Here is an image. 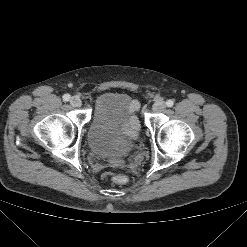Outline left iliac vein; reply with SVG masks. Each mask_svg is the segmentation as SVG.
Returning <instances> with one entry per match:
<instances>
[{
    "instance_id": "obj_1",
    "label": "left iliac vein",
    "mask_w": 247,
    "mask_h": 247,
    "mask_svg": "<svg viewBox=\"0 0 247 247\" xmlns=\"http://www.w3.org/2000/svg\"><path fill=\"white\" fill-rule=\"evenodd\" d=\"M166 108V104L163 101H157L152 106L154 112H162Z\"/></svg>"
}]
</instances>
